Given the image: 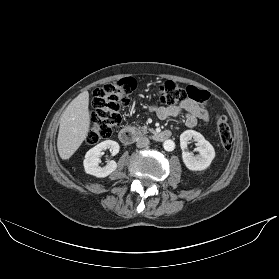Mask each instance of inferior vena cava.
Listing matches in <instances>:
<instances>
[{
  "mask_svg": "<svg viewBox=\"0 0 279 279\" xmlns=\"http://www.w3.org/2000/svg\"><path fill=\"white\" fill-rule=\"evenodd\" d=\"M149 144V139L147 137H140L137 142H136V146L138 148H143L146 147Z\"/></svg>",
  "mask_w": 279,
  "mask_h": 279,
  "instance_id": "602c4592",
  "label": "inferior vena cava"
}]
</instances>
